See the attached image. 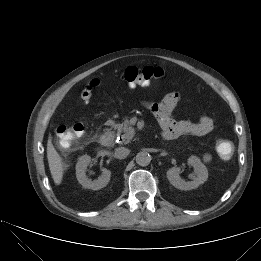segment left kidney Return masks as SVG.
Returning a JSON list of instances; mask_svg holds the SVG:
<instances>
[{"label":"left kidney","mask_w":261,"mask_h":261,"mask_svg":"<svg viewBox=\"0 0 261 261\" xmlns=\"http://www.w3.org/2000/svg\"><path fill=\"white\" fill-rule=\"evenodd\" d=\"M188 164L195 170L196 177L192 181H185L180 177L181 168L172 167L167 171V178L169 182L177 189L191 190L197 188L208 179V170L201 160L196 156H191L188 159Z\"/></svg>","instance_id":"left-kidney-1"}]
</instances>
